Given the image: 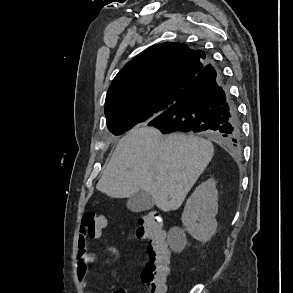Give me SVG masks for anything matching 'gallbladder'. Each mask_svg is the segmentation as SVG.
Returning <instances> with one entry per match:
<instances>
[{
	"instance_id": "gallbladder-1",
	"label": "gallbladder",
	"mask_w": 293,
	"mask_h": 293,
	"mask_svg": "<svg viewBox=\"0 0 293 293\" xmlns=\"http://www.w3.org/2000/svg\"><path fill=\"white\" fill-rule=\"evenodd\" d=\"M154 200L152 196L144 191H139L129 197L127 201V208L132 212H141L152 209Z\"/></svg>"
}]
</instances>
